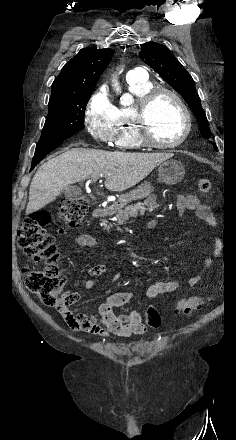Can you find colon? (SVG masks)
<instances>
[{"mask_svg":"<svg viewBox=\"0 0 236 440\" xmlns=\"http://www.w3.org/2000/svg\"><path fill=\"white\" fill-rule=\"evenodd\" d=\"M211 187L209 178L199 179L198 189L201 193H208ZM89 208L90 201L86 196L66 198L60 204L57 218L72 229L81 225ZM53 220L50 213L40 211L26 218L20 227L19 246L33 263L44 265L42 268L25 269L26 286L44 304L55 308L67 324L69 321H88L76 319L69 312L70 301L63 291L66 276L60 267L58 246L53 235L46 230ZM204 303V298L200 296L184 298L178 302L176 312L188 316L200 310ZM144 319L148 327L161 325V315L153 307L147 308Z\"/></svg>","mask_w":236,"mask_h":440,"instance_id":"1","label":"colon"}]
</instances>
